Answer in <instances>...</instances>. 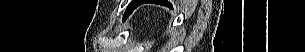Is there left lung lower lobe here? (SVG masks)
<instances>
[{
  "label": "left lung lower lobe",
  "instance_id": "1",
  "mask_svg": "<svg viewBox=\"0 0 305 52\" xmlns=\"http://www.w3.org/2000/svg\"><path fill=\"white\" fill-rule=\"evenodd\" d=\"M143 3H147V1L146 0H139V2H137L138 5H141Z\"/></svg>",
  "mask_w": 305,
  "mask_h": 52
}]
</instances>
